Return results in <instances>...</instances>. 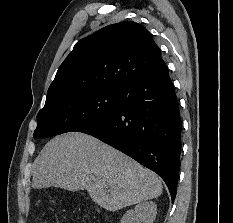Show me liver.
<instances>
[{
	"label": "liver",
	"instance_id": "obj_1",
	"mask_svg": "<svg viewBox=\"0 0 233 223\" xmlns=\"http://www.w3.org/2000/svg\"><path fill=\"white\" fill-rule=\"evenodd\" d=\"M95 175V181L90 179ZM32 185L86 189L108 211L159 197L160 177L128 155L87 133L70 131L46 143L32 165Z\"/></svg>",
	"mask_w": 233,
	"mask_h": 223
}]
</instances>
